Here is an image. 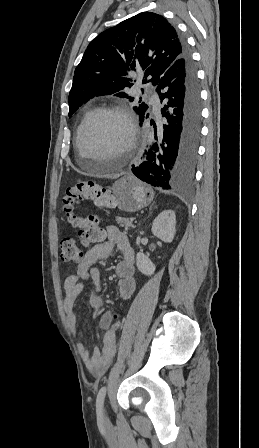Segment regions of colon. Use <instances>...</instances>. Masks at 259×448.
<instances>
[{
	"mask_svg": "<svg viewBox=\"0 0 259 448\" xmlns=\"http://www.w3.org/2000/svg\"><path fill=\"white\" fill-rule=\"evenodd\" d=\"M91 200L99 208H112L115 206V197L110 190L100 185L94 179H77L69 186L63 197V209L68 220L78 228V237L83 243L100 241L104 235L98 226L95 215H80L76 213L75 206L81 200ZM61 259L66 263H77L83 257V251L78 242L73 238H64L60 242ZM112 324L120 328L118 314L112 315Z\"/></svg>",
	"mask_w": 259,
	"mask_h": 448,
	"instance_id": "colon-1",
	"label": "colon"
}]
</instances>
